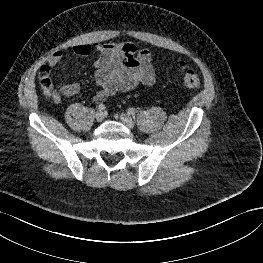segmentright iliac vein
<instances>
[{"label": "right iliac vein", "mask_w": 263, "mask_h": 263, "mask_svg": "<svg viewBox=\"0 0 263 263\" xmlns=\"http://www.w3.org/2000/svg\"><path fill=\"white\" fill-rule=\"evenodd\" d=\"M95 118L98 122H101L104 120V113L102 111H97Z\"/></svg>", "instance_id": "right-iliac-vein-1"}]
</instances>
